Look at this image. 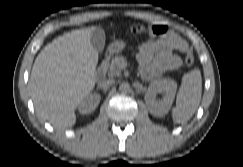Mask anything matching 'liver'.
<instances>
[{
    "instance_id": "obj_1",
    "label": "liver",
    "mask_w": 243,
    "mask_h": 167,
    "mask_svg": "<svg viewBox=\"0 0 243 167\" xmlns=\"http://www.w3.org/2000/svg\"><path fill=\"white\" fill-rule=\"evenodd\" d=\"M91 33L86 28L60 36L35 59L30 76L34 106L39 118L55 128L75 124L76 107L95 86L98 54Z\"/></svg>"
}]
</instances>
